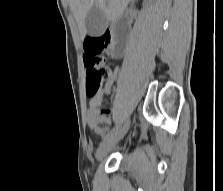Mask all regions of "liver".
Here are the masks:
<instances>
[{
	"label": "liver",
	"instance_id": "obj_1",
	"mask_svg": "<svg viewBox=\"0 0 223 191\" xmlns=\"http://www.w3.org/2000/svg\"><path fill=\"white\" fill-rule=\"evenodd\" d=\"M132 0H69L70 10L78 24L81 37L86 34L85 19L93 7L99 8L107 20L114 21L122 16Z\"/></svg>",
	"mask_w": 223,
	"mask_h": 191
}]
</instances>
